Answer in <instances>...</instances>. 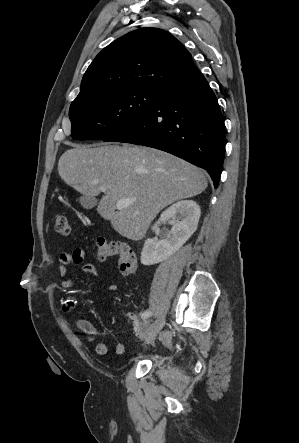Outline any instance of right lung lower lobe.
<instances>
[{
    "mask_svg": "<svg viewBox=\"0 0 299 443\" xmlns=\"http://www.w3.org/2000/svg\"><path fill=\"white\" fill-rule=\"evenodd\" d=\"M166 151L203 167L217 188L224 159V119L207 80L196 73L162 91L143 116L104 139Z\"/></svg>",
    "mask_w": 299,
    "mask_h": 443,
    "instance_id": "1",
    "label": "right lung lower lobe"
}]
</instances>
